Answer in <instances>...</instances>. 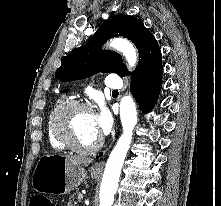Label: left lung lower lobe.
Wrapping results in <instances>:
<instances>
[{
    "mask_svg": "<svg viewBox=\"0 0 221 206\" xmlns=\"http://www.w3.org/2000/svg\"><path fill=\"white\" fill-rule=\"evenodd\" d=\"M162 73L163 70L131 83V93L144 114L156 104L162 86Z\"/></svg>",
    "mask_w": 221,
    "mask_h": 206,
    "instance_id": "1",
    "label": "left lung lower lobe"
}]
</instances>
